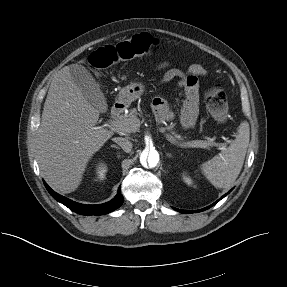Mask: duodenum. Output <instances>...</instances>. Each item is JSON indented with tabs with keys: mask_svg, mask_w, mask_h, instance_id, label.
<instances>
[{
	"mask_svg": "<svg viewBox=\"0 0 287 287\" xmlns=\"http://www.w3.org/2000/svg\"><path fill=\"white\" fill-rule=\"evenodd\" d=\"M125 105L123 102L117 101L113 104L110 110V116L112 118L118 117L124 110Z\"/></svg>",
	"mask_w": 287,
	"mask_h": 287,
	"instance_id": "1",
	"label": "duodenum"
}]
</instances>
